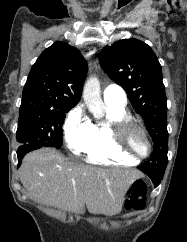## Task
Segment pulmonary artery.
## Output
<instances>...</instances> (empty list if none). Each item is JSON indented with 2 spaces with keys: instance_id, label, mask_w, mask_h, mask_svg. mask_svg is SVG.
I'll return each instance as SVG.
<instances>
[{
  "instance_id": "1",
  "label": "pulmonary artery",
  "mask_w": 187,
  "mask_h": 242,
  "mask_svg": "<svg viewBox=\"0 0 187 242\" xmlns=\"http://www.w3.org/2000/svg\"><path fill=\"white\" fill-rule=\"evenodd\" d=\"M105 105L112 107H125L127 97L125 91L116 84L108 85L103 92Z\"/></svg>"
}]
</instances>
